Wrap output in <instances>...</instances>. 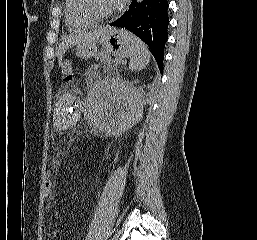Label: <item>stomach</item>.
I'll return each instance as SVG.
<instances>
[{
  "label": "stomach",
  "mask_w": 257,
  "mask_h": 240,
  "mask_svg": "<svg viewBox=\"0 0 257 240\" xmlns=\"http://www.w3.org/2000/svg\"><path fill=\"white\" fill-rule=\"evenodd\" d=\"M98 45H101L107 52L118 57L130 55V43L125 36L124 30L107 26L103 35L96 41L89 44H80L76 48L78 57L88 60L97 54Z\"/></svg>",
  "instance_id": "obj_1"
}]
</instances>
